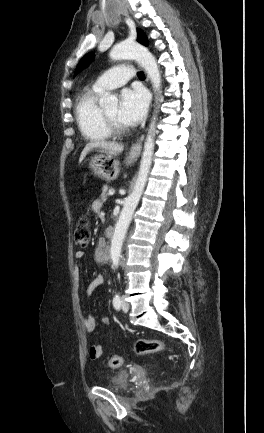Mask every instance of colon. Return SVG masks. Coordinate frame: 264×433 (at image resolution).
I'll use <instances>...</instances> for the list:
<instances>
[{
  "label": "colon",
  "mask_w": 264,
  "mask_h": 433,
  "mask_svg": "<svg viewBox=\"0 0 264 433\" xmlns=\"http://www.w3.org/2000/svg\"><path fill=\"white\" fill-rule=\"evenodd\" d=\"M91 239V232L88 221L82 218L74 231V242L78 247L85 248ZM134 350L137 354H152L166 351V345L157 339H138L134 344ZM124 363L123 357L116 355L110 357L106 365L110 368H118Z\"/></svg>",
  "instance_id": "colon-1"
}]
</instances>
